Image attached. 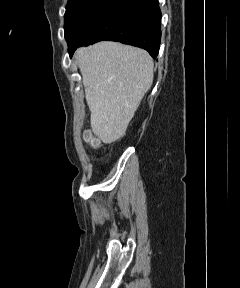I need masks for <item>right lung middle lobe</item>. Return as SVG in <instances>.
I'll list each match as a JSON object with an SVG mask.
<instances>
[{
	"label": "right lung middle lobe",
	"instance_id": "1",
	"mask_svg": "<svg viewBox=\"0 0 240 288\" xmlns=\"http://www.w3.org/2000/svg\"><path fill=\"white\" fill-rule=\"evenodd\" d=\"M116 2L117 0H69L64 16L68 47L80 43L92 26Z\"/></svg>",
	"mask_w": 240,
	"mask_h": 288
}]
</instances>
